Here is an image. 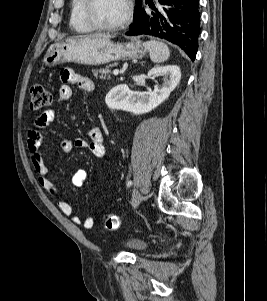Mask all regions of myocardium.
I'll return each instance as SVG.
<instances>
[{
	"mask_svg": "<svg viewBox=\"0 0 267 301\" xmlns=\"http://www.w3.org/2000/svg\"><path fill=\"white\" fill-rule=\"evenodd\" d=\"M125 12L123 17L115 24L105 25L99 22L94 15V6L96 0H85L84 16L86 21L95 29L99 31H117L129 24L133 14V1L124 0Z\"/></svg>",
	"mask_w": 267,
	"mask_h": 301,
	"instance_id": "obj_1",
	"label": "myocardium"
}]
</instances>
